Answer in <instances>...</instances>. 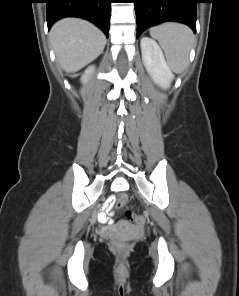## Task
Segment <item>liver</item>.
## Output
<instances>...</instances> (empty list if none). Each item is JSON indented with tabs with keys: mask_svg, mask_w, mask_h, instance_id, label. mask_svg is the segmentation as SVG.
Returning <instances> with one entry per match:
<instances>
[{
	"mask_svg": "<svg viewBox=\"0 0 239 296\" xmlns=\"http://www.w3.org/2000/svg\"><path fill=\"white\" fill-rule=\"evenodd\" d=\"M50 41L59 65L64 71L74 73L103 52L106 37L88 21L65 18L53 25Z\"/></svg>",
	"mask_w": 239,
	"mask_h": 296,
	"instance_id": "liver-1",
	"label": "liver"
}]
</instances>
